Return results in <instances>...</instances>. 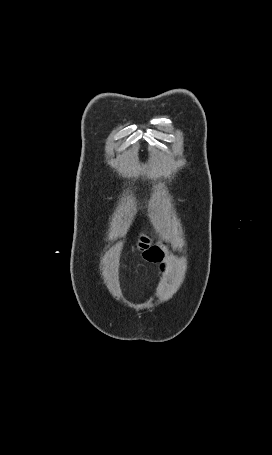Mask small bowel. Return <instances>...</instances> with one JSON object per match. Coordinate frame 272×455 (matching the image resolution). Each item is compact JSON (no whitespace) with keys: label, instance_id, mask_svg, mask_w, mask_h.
<instances>
[{"label":"small bowel","instance_id":"1","mask_svg":"<svg viewBox=\"0 0 272 455\" xmlns=\"http://www.w3.org/2000/svg\"><path fill=\"white\" fill-rule=\"evenodd\" d=\"M142 249L144 251V258L149 262H157L160 258V251L157 247L151 246L147 238L142 241Z\"/></svg>","mask_w":272,"mask_h":455}]
</instances>
